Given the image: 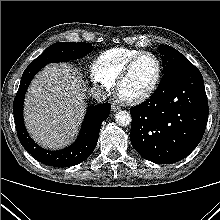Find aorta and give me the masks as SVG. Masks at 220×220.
<instances>
[{"instance_id":"1","label":"aorta","mask_w":220,"mask_h":220,"mask_svg":"<svg viewBox=\"0 0 220 220\" xmlns=\"http://www.w3.org/2000/svg\"><path fill=\"white\" fill-rule=\"evenodd\" d=\"M131 115L125 110H121L115 115V121L119 126H127L131 123Z\"/></svg>"}]
</instances>
